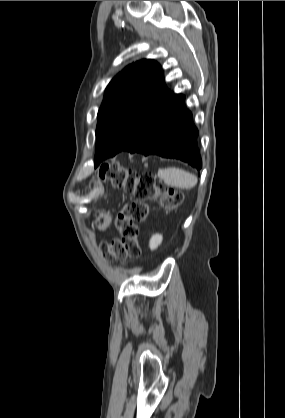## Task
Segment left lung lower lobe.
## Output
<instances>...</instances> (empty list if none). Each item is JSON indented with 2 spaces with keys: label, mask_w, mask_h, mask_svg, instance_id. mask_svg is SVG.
<instances>
[{
  "label": "left lung lower lobe",
  "mask_w": 285,
  "mask_h": 418,
  "mask_svg": "<svg viewBox=\"0 0 285 418\" xmlns=\"http://www.w3.org/2000/svg\"><path fill=\"white\" fill-rule=\"evenodd\" d=\"M184 99L182 94L169 92L122 151L176 158L200 170L198 130L192 123V113L186 109ZM99 157L105 160L111 156L108 152H101Z\"/></svg>",
  "instance_id": "obj_1"
}]
</instances>
